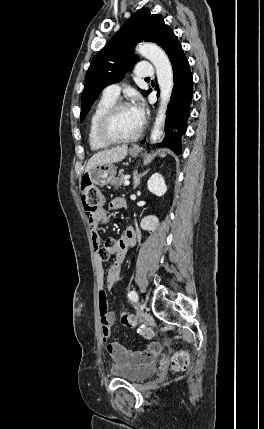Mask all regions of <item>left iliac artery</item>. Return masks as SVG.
I'll return each instance as SVG.
<instances>
[{"mask_svg":"<svg viewBox=\"0 0 264 429\" xmlns=\"http://www.w3.org/2000/svg\"><path fill=\"white\" fill-rule=\"evenodd\" d=\"M135 292H136V291L132 290V291H130V292L128 293V297H129V299H130V300H132V298H133V294H134Z\"/></svg>","mask_w":264,"mask_h":429,"instance_id":"1","label":"left iliac artery"}]
</instances>
